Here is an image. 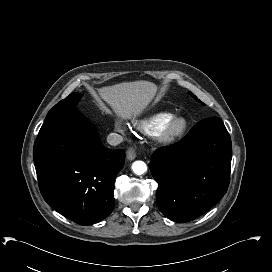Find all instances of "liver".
Returning a JSON list of instances; mask_svg holds the SVG:
<instances>
[{"mask_svg": "<svg viewBox=\"0 0 272 272\" xmlns=\"http://www.w3.org/2000/svg\"><path fill=\"white\" fill-rule=\"evenodd\" d=\"M100 97L121 119L140 115L156 92V85L149 81L124 82L98 90Z\"/></svg>", "mask_w": 272, "mask_h": 272, "instance_id": "1", "label": "liver"}]
</instances>
